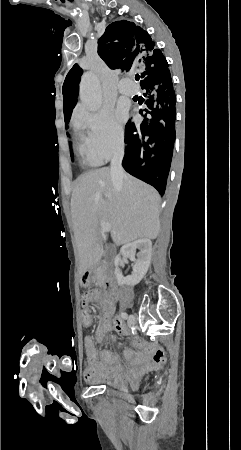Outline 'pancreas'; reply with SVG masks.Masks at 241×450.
I'll return each mask as SVG.
<instances>
[{
  "mask_svg": "<svg viewBox=\"0 0 241 450\" xmlns=\"http://www.w3.org/2000/svg\"><path fill=\"white\" fill-rule=\"evenodd\" d=\"M97 274V280H96V284L97 286H100V284H103L106 276H105V272L104 270H99V272H96Z\"/></svg>",
  "mask_w": 241,
  "mask_h": 450,
  "instance_id": "1",
  "label": "pancreas"
}]
</instances>
